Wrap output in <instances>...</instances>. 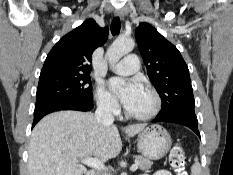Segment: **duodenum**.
Here are the masks:
<instances>
[{
	"mask_svg": "<svg viewBox=\"0 0 233 175\" xmlns=\"http://www.w3.org/2000/svg\"><path fill=\"white\" fill-rule=\"evenodd\" d=\"M85 175H95L93 171H87Z\"/></svg>",
	"mask_w": 233,
	"mask_h": 175,
	"instance_id": "duodenum-1",
	"label": "duodenum"
}]
</instances>
